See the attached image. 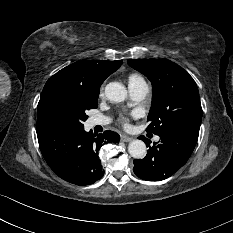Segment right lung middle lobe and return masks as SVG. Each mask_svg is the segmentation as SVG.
<instances>
[{"instance_id": "dd1d6c3e", "label": "right lung middle lobe", "mask_w": 233, "mask_h": 233, "mask_svg": "<svg viewBox=\"0 0 233 233\" xmlns=\"http://www.w3.org/2000/svg\"><path fill=\"white\" fill-rule=\"evenodd\" d=\"M98 96L99 91H87L67 80L50 78L38 103L37 127H84L86 112L97 108Z\"/></svg>"}]
</instances>
